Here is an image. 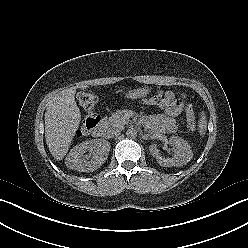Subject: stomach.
I'll return each mask as SVG.
<instances>
[{
  "mask_svg": "<svg viewBox=\"0 0 248 248\" xmlns=\"http://www.w3.org/2000/svg\"><path fill=\"white\" fill-rule=\"evenodd\" d=\"M150 89L148 87L137 88L126 94V97L129 99H139L145 97L149 94Z\"/></svg>",
  "mask_w": 248,
  "mask_h": 248,
  "instance_id": "1",
  "label": "stomach"
}]
</instances>
